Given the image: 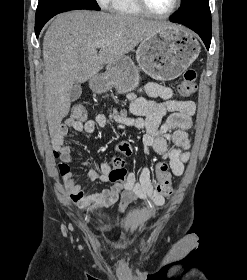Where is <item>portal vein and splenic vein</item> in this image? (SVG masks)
<instances>
[{
  "mask_svg": "<svg viewBox=\"0 0 247 280\" xmlns=\"http://www.w3.org/2000/svg\"><path fill=\"white\" fill-rule=\"evenodd\" d=\"M101 46H102V44H101V43L97 44V48H100Z\"/></svg>",
  "mask_w": 247,
  "mask_h": 280,
  "instance_id": "obj_1",
  "label": "portal vein and splenic vein"
}]
</instances>
